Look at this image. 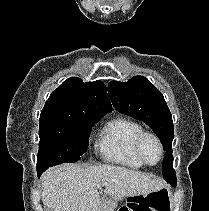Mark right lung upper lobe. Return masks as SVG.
Instances as JSON below:
<instances>
[{
  "mask_svg": "<svg viewBox=\"0 0 209 211\" xmlns=\"http://www.w3.org/2000/svg\"><path fill=\"white\" fill-rule=\"evenodd\" d=\"M112 110L102 81L71 77L54 90L41 111L40 121H70L103 117Z\"/></svg>",
  "mask_w": 209,
  "mask_h": 211,
  "instance_id": "1",
  "label": "right lung upper lobe"
}]
</instances>
